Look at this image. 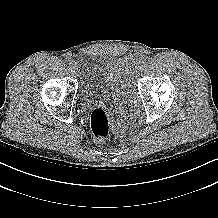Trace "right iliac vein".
Instances as JSON below:
<instances>
[{"label": "right iliac vein", "instance_id": "right-iliac-vein-1", "mask_svg": "<svg viewBox=\"0 0 218 218\" xmlns=\"http://www.w3.org/2000/svg\"><path fill=\"white\" fill-rule=\"evenodd\" d=\"M71 69L75 72L78 70V64L76 61H73L71 64Z\"/></svg>", "mask_w": 218, "mask_h": 218}]
</instances>
